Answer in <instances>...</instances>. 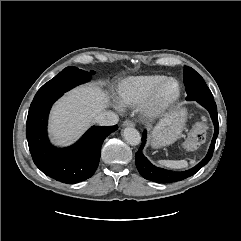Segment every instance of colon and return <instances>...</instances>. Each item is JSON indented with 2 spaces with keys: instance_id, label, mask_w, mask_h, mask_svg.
<instances>
[{
  "instance_id": "5ec220e1",
  "label": "colon",
  "mask_w": 241,
  "mask_h": 241,
  "mask_svg": "<svg viewBox=\"0 0 241 241\" xmlns=\"http://www.w3.org/2000/svg\"><path fill=\"white\" fill-rule=\"evenodd\" d=\"M207 128V122L205 119L197 122L190 130L185 141L186 148L189 150L197 149L205 140Z\"/></svg>"
}]
</instances>
